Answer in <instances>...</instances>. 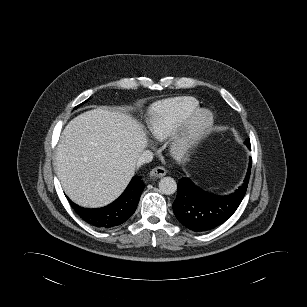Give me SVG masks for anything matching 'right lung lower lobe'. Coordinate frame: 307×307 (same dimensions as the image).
<instances>
[{
  "label": "right lung lower lobe",
  "mask_w": 307,
  "mask_h": 307,
  "mask_svg": "<svg viewBox=\"0 0 307 307\" xmlns=\"http://www.w3.org/2000/svg\"><path fill=\"white\" fill-rule=\"evenodd\" d=\"M144 189L143 181L135 176L123 194L113 203L97 209L82 208L71 200L70 204L77 214L87 223L97 228H112L128 220L136 210Z\"/></svg>",
  "instance_id": "obj_1"
}]
</instances>
